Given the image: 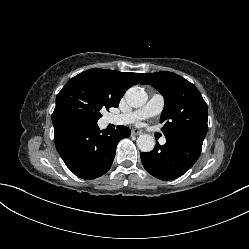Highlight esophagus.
Returning <instances> with one entry per match:
<instances>
[{
	"mask_svg": "<svg viewBox=\"0 0 249 249\" xmlns=\"http://www.w3.org/2000/svg\"><path fill=\"white\" fill-rule=\"evenodd\" d=\"M141 134V131L139 130V129H132V135H135V136H137V135H140Z\"/></svg>",
	"mask_w": 249,
	"mask_h": 249,
	"instance_id": "34e87169",
	"label": "esophagus"
}]
</instances>
